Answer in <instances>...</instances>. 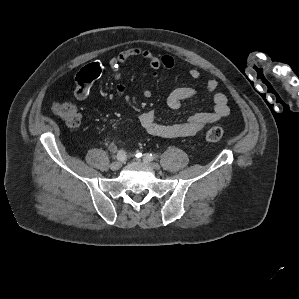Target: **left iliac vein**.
<instances>
[{
    "label": "left iliac vein",
    "mask_w": 299,
    "mask_h": 299,
    "mask_svg": "<svg viewBox=\"0 0 299 299\" xmlns=\"http://www.w3.org/2000/svg\"><path fill=\"white\" fill-rule=\"evenodd\" d=\"M144 162L148 165H150L153 169L155 170H159L160 169V165L158 163L155 162H151L150 160L144 158Z\"/></svg>",
    "instance_id": "obj_1"
}]
</instances>
